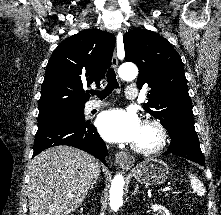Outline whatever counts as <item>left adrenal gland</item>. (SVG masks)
<instances>
[{"mask_svg": "<svg viewBox=\"0 0 221 215\" xmlns=\"http://www.w3.org/2000/svg\"><path fill=\"white\" fill-rule=\"evenodd\" d=\"M138 193H141V192H139V190H138V184L135 186V190H134V192L132 193V195H136V194H138Z\"/></svg>", "mask_w": 221, "mask_h": 215, "instance_id": "a2214340", "label": "left adrenal gland"}]
</instances>
